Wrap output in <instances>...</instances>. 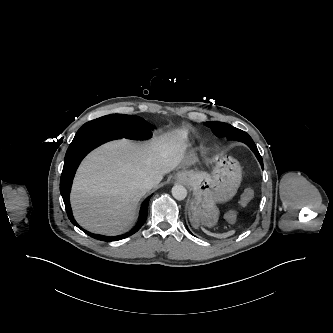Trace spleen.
<instances>
[{
	"mask_svg": "<svg viewBox=\"0 0 333 333\" xmlns=\"http://www.w3.org/2000/svg\"><path fill=\"white\" fill-rule=\"evenodd\" d=\"M207 234H209V235H214L215 237H217V238H226V237H228V236H231V235H233L235 232L234 231H230V232H227V233H223V234H212V233H210V232H208V231H206V230H204Z\"/></svg>",
	"mask_w": 333,
	"mask_h": 333,
	"instance_id": "1",
	"label": "spleen"
}]
</instances>
